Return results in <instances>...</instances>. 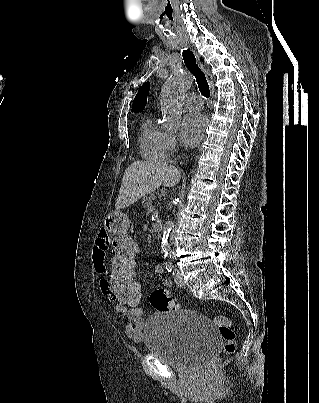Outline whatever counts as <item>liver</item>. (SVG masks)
<instances>
[{"instance_id": "obj_1", "label": "liver", "mask_w": 319, "mask_h": 403, "mask_svg": "<svg viewBox=\"0 0 319 403\" xmlns=\"http://www.w3.org/2000/svg\"><path fill=\"white\" fill-rule=\"evenodd\" d=\"M180 178V170L167 162L135 161L125 170L115 208L128 207L161 185L175 186Z\"/></svg>"}]
</instances>
